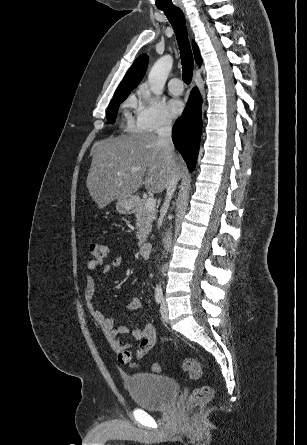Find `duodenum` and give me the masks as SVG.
Returning a JSON list of instances; mask_svg holds the SVG:
<instances>
[{
	"mask_svg": "<svg viewBox=\"0 0 307 445\" xmlns=\"http://www.w3.org/2000/svg\"><path fill=\"white\" fill-rule=\"evenodd\" d=\"M151 250H152L151 243L145 242L139 246V253L144 258L149 257Z\"/></svg>",
	"mask_w": 307,
	"mask_h": 445,
	"instance_id": "410a0bca",
	"label": "duodenum"
}]
</instances>
